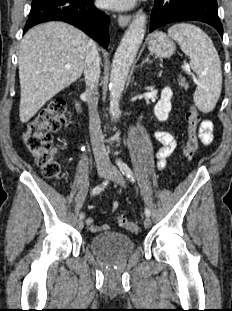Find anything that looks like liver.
<instances>
[{"label": "liver", "instance_id": "liver-1", "mask_svg": "<svg viewBox=\"0 0 232 311\" xmlns=\"http://www.w3.org/2000/svg\"><path fill=\"white\" fill-rule=\"evenodd\" d=\"M89 40L85 33L63 22L38 25L24 35L18 57L22 123L81 76ZM66 65L70 69H65Z\"/></svg>", "mask_w": 232, "mask_h": 311}]
</instances>
